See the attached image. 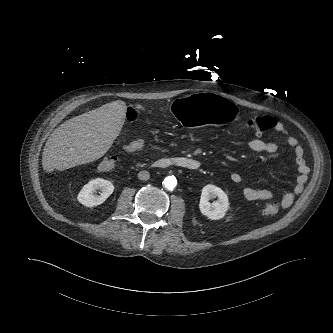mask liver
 Returning <instances> with one entry per match:
<instances>
[{
    "instance_id": "liver-1",
    "label": "liver",
    "mask_w": 333,
    "mask_h": 333,
    "mask_svg": "<svg viewBox=\"0 0 333 333\" xmlns=\"http://www.w3.org/2000/svg\"><path fill=\"white\" fill-rule=\"evenodd\" d=\"M126 111V103L117 100L65 121L45 144L43 169L62 171L104 156L123 127Z\"/></svg>"
}]
</instances>
